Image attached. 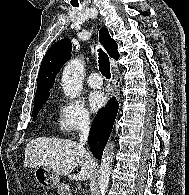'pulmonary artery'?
Listing matches in <instances>:
<instances>
[{
  "label": "pulmonary artery",
  "mask_w": 189,
  "mask_h": 195,
  "mask_svg": "<svg viewBox=\"0 0 189 195\" xmlns=\"http://www.w3.org/2000/svg\"><path fill=\"white\" fill-rule=\"evenodd\" d=\"M86 82L91 88L98 89L103 85V78L98 72H92L88 75Z\"/></svg>",
  "instance_id": "e3ab8cb5"
}]
</instances>
